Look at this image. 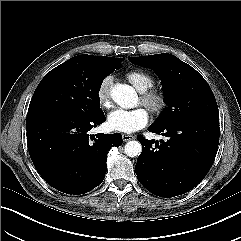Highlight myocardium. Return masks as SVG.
<instances>
[{"label":"myocardium","instance_id":"obj_1","mask_svg":"<svg viewBox=\"0 0 241 241\" xmlns=\"http://www.w3.org/2000/svg\"><path fill=\"white\" fill-rule=\"evenodd\" d=\"M140 100L155 115H159L166 107L164 94L156 89H148L142 92Z\"/></svg>","mask_w":241,"mask_h":241}]
</instances>
